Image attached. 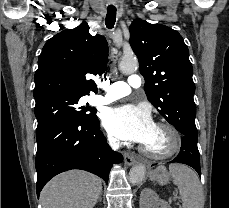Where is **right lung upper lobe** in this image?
Instances as JSON below:
<instances>
[{
    "instance_id": "cb5924a9",
    "label": "right lung upper lobe",
    "mask_w": 229,
    "mask_h": 208,
    "mask_svg": "<svg viewBox=\"0 0 229 208\" xmlns=\"http://www.w3.org/2000/svg\"><path fill=\"white\" fill-rule=\"evenodd\" d=\"M107 62L105 37L90 35L87 23L63 30L46 42L39 55L33 91L35 101L53 95L97 93L96 84L86 76L101 75Z\"/></svg>"
}]
</instances>
